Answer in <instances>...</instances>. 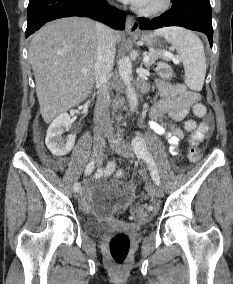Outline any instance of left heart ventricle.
<instances>
[{"instance_id":"left-heart-ventricle-1","label":"left heart ventricle","mask_w":233,"mask_h":284,"mask_svg":"<svg viewBox=\"0 0 233 284\" xmlns=\"http://www.w3.org/2000/svg\"><path fill=\"white\" fill-rule=\"evenodd\" d=\"M160 0H146L145 3L142 5L143 7H149L157 4Z\"/></svg>"}]
</instances>
